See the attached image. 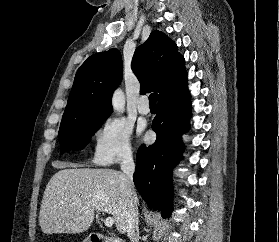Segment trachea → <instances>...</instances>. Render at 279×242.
<instances>
[{"label":"trachea","mask_w":279,"mask_h":242,"mask_svg":"<svg viewBox=\"0 0 279 242\" xmlns=\"http://www.w3.org/2000/svg\"><path fill=\"white\" fill-rule=\"evenodd\" d=\"M156 100H157V93L150 94V96H149L150 105L156 106Z\"/></svg>","instance_id":"trachea-1"}]
</instances>
